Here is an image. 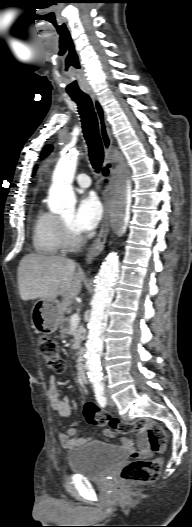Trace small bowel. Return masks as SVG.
Returning a JSON list of instances; mask_svg holds the SVG:
<instances>
[{
    "mask_svg": "<svg viewBox=\"0 0 192 527\" xmlns=\"http://www.w3.org/2000/svg\"><path fill=\"white\" fill-rule=\"evenodd\" d=\"M48 398L51 403L52 409L58 413L61 417H69L71 414V403L70 400L67 397H62L60 395L58 386L56 384L54 376H51L49 378V384H48ZM134 429H130L128 432L133 431ZM140 433V448L141 451L137 452L131 440L128 438L122 437L120 439V444L123 448H125L128 451L127 457L129 460L134 461L138 457L146 456L151 453V448L148 445V442L145 437V431L144 430H138ZM126 432V433H128ZM104 435L106 437H113V431L110 429H105L103 431ZM91 440V437L89 436H83L80 431H78L76 428H69L66 432H60L59 433V441L61 446L64 449L71 450L76 447L82 446L89 442Z\"/></svg>",
    "mask_w": 192,
    "mask_h": 527,
    "instance_id": "obj_1",
    "label": "small bowel"
}]
</instances>
